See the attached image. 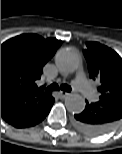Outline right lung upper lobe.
<instances>
[{
	"label": "right lung upper lobe",
	"mask_w": 122,
	"mask_h": 154,
	"mask_svg": "<svg viewBox=\"0 0 122 154\" xmlns=\"http://www.w3.org/2000/svg\"><path fill=\"white\" fill-rule=\"evenodd\" d=\"M60 43L56 38L23 34L1 45V116L7 123L43 109L52 99L35 81Z\"/></svg>",
	"instance_id": "right-lung-upper-lobe-1"
}]
</instances>
